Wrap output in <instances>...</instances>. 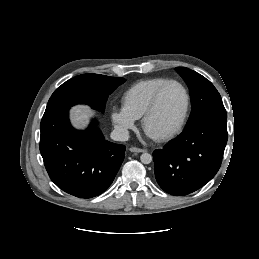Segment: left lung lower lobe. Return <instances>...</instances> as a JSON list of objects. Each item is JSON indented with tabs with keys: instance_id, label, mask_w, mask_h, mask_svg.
Instances as JSON below:
<instances>
[{
	"instance_id": "1",
	"label": "left lung lower lobe",
	"mask_w": 259,
	"mask_h": 259,
	"mask_svg": "<svg viewBox=\"0 0 259 259\" xmlns=\"http://www.w3.org/2000/svg\"><path fill=\"white\" fill-rule=\"evenodd\" d=\"M227 118L209 117L189 127L162 149L153 152L155 177L172 195H187L218 172L227 143Z\"/></svg>"
}]
</instances>
